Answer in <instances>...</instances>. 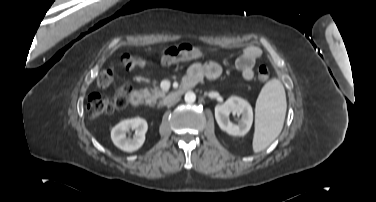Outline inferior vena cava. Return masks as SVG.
<instances>
[{
    "instance_id": "inferior-vena-cava-1",
    "label": "inferior vena cava",
    "mask_w": 376,
    "mask_h": 202,
    "mask_svg": "<svg viewBox=\"0 0 376 202\" xmlns=\"http://www.w3.org/2000/svg\"><path fill=\"white\" fill-rule=\"evenodd\" d=\"M176 101L177 100H170V101H168L167 102V106L169 107V106L173 105Z\"/></svg>"
}]
</instances>
